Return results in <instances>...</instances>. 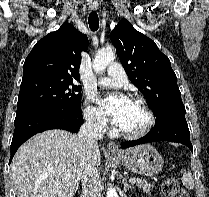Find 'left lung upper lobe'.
<instances>
[{"mask_svg": "<svg viewBox=\"0 0 209 197\" xmlns=\"http://www.w3.org/2000/svg\"><path fill=\"white\" fill-rule=\"evenodd\" d=\"M110 39L128 78L143 93L157 116L162 111L184 108L170 60L150 38L122 19Z\"/></svg>", "mask_w": 209, "mask_h": 197, "instance_id": "obj_1", "label": "left lung upper lobe"}]
</instances>
